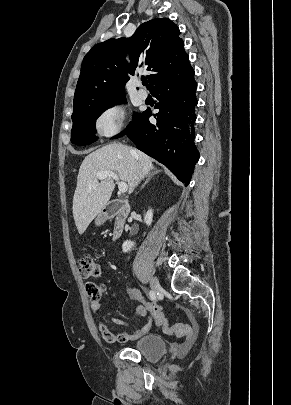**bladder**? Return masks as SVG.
<instances>
[{
  "label": "bladder",
  "mask_w": 291,
  "mask_h": 405,
  "mask_svg": "<svg viewBox=\"0 0 291 405\" xmlns=\"http://www.w3.org/2000/svg\"><path fill=\"white\" fill-rule=\"evenodd\" d=\"M131 348L150 361H157L167 351L166 341L158 334L148 333L133 342Z\"/></svg>",
  "instance_id": "bladder-1"
}]
</instances>
